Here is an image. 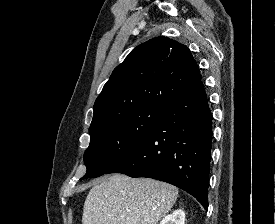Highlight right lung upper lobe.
<instances>
[{
	"label": "right lung upper lobe",
	"instance_id": "1",
	"mask_svg": "<svg viewBox=\"0 0 275 224\" xmlns=\"http://www.w3.org/2000/svg\"><path fill=\"white\" fill-rule=\"evenodd\" d=\"M190 50L167 37L134 48L117 66L94 104L91 126L143 107L167 109L199 82Z\"/></svg>",
	"mask_w": 275,
	"mask_h": 224
}]
</instances>
